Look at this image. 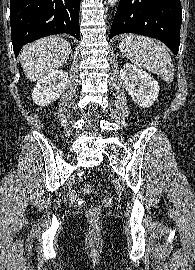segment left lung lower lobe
I'll use <instances>...</instances> for the list:
<instances>
[{
  "label": "left lung lower lobe",
  "instance_id": "obj_1",
  "mask_svg": "<svg viewBox=\"0 0 195 270\" xmlns=\"http://www.w3.org/2000/svg\"><path fill=\"white\" fill-rule=\"evenodd\" d=\"M181 19L180 0H120L109 38L121 33L149 36L177 55Z\"/></svg>",
  "mask_w": 195,
  "mask_h": 270
}]
</instances>
